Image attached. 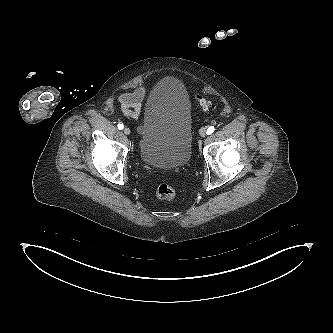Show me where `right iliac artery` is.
Returning a JSON list of instances; mask_svg holds the SVG:
<instances>
[{"label": "right iliac artery", "mask_w": 333, "mask_h": 333, "mask_svg": "<svg viewBox=\"0 0 333 333\" xmlns=\"http://www.w3.org/2000/svg\"><path fill=\"white\" fill-rule=\"evenodd\" d=\"M124 128V125L123 124H118V129L122 130Z\"/></svg>", "instance_id": "obj_1"}]
</instances>
